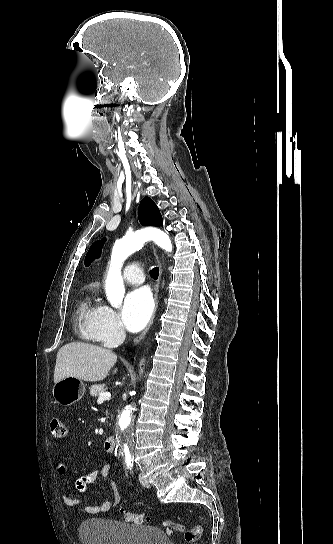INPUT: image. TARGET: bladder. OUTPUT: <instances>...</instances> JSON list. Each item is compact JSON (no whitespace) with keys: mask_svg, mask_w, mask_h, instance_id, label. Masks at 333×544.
Wrapping results in <instances>:
<instances>
[{"mask_svg":"<svg viewBox=\"0 0 333 544\" xmlns=\"http://www.w3.org/2000/svg\"><path fill=\"white\" fill-rule=\"evenodd\" d=\"M78 535L82 544H169V537L159 528L103 518L84 520Z\"/></svg>","mask_w":333,"mask_h":544,"instance_id":"31cf9c89","label":"bladder"}]
</instances>
